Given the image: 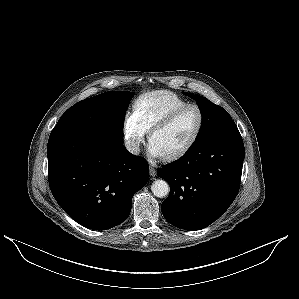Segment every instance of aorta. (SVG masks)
Masks as SVG:
<instances>
[{"label": "aorta", "mask_w": 299, "mask_h": 299, "mask_svg": "<svg viewBox=\"0 0 299 299\" xmlns=\"http://www.w3.org/2000/svg\"><path fill=\"white\" fill-rule=\"evenodd\" d=\"M151 190L156 197L163 198L169 194L170 188L166 181L158 179L153 182Z\"/></svg>", "instance_id": "762f6f07"}]
</instances>
